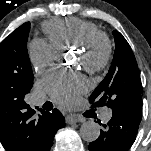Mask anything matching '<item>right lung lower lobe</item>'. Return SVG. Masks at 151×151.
Instances as JSON below:
<instances>
[{
	"label": "right lung lower lobe",
	"mask_w": 151,
	"mask_h": 151,
	"mask_svg": "<svg viewBox=\"0 0 151 151\" xmlns=\"http://www.w3.org/2000/svg\"><path fill=\"white\" fill-rule=\"evenodd\" d=\"M44 113L46 137L42 151H49L53 144V138L56 132L65 126V120L61 112L57 109H54L52 113L45 111Z\"/></svg>",
	"instance_id": "obj_1"
}]
</instances>
